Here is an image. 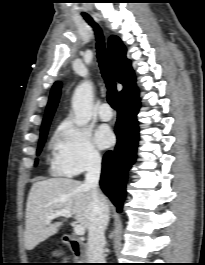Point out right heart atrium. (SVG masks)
I'll return each mask as SVG.
<instances>
[{"label": "right heart atrium", "mask_w": 205, "mask_h": 265, "mask_svg": "<svg viewBox=\"0 0 205 265\" xmlns=\"http://www.w3.org/2000/svg\"><path fill=\"white\" fill-rule=\"evenodd\" d=\"M100 162L101 155L90 130L71 121L62 123L54 140L53 172L62 176H76L97 167Z\"/></svg>", "instance_id": "obj_1"}]
</instances>
